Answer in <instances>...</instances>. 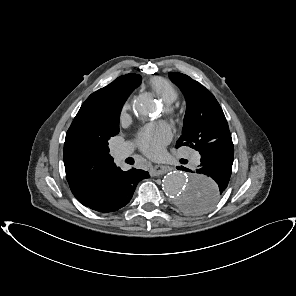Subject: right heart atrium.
Wrapping results in <instances>:
<instances>
[{"label":"right heart atrium","mask_w":296,"mask_h":296,"mask_svg":"<svg viewBox=\"0 0 296 296\" xmlns=\"http://www.w3.org/2000/svg\"><path fill=\"white\" fill-rule=\"evenodd\" d=\"M130 111H131V103L129 101H126L120 110V119L122 121L126 120L129 116Z\"/></svg>","instance_id":"d8ad5b80"}]
</instances>
